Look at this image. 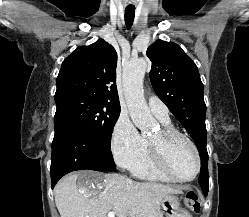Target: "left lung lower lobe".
<instances>
[{
	"label": "left lung lower lobe",
	"mask_w": 249,
	"mask_h": 217,
	"mask_svg": "<svg viewBox=\"0 0 249 217\" xmlns=\"http://www.w3.org/2000/svg\"><path fill=\"white\" fill-rule=\"evenodd\" d=\"M199 183L201 185V188L203 190V193L207 195L208 188H209V174L205 167H201L200 170V176H199Z\"/></svg>",
	"instance_id": "left-lung-lower-lobe-1"
}]
</instances>
